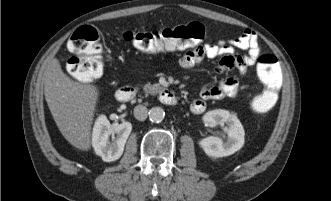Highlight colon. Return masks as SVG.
I'll return each mask as SVG.
<instances>
[{"instance_id":"5ec220e1","label":"colon","mask_w":331,"mask_h":201,"mask_svg":"<svg viewBox=\"0 0 331 201\" xmlns=\"http://www.w3.org/2000/svg\"><path fill=\"white\" fill-rule=\"evenodd\" d=\"M207 37L206 28L198 22L153 32L128 30L123 34L126 42L137 50L150 54L192 49L202 44ZM68 48L76 54L67 64L71 76L82 82H90L102 75L104 69L102 46L94 27L78 28L71 36ZM256 64L263 89L250 98L249 105L255 113L263 114L276 105L284 73L279 59L271 53L259 55Z\"/></svg>"}]
</instances>
